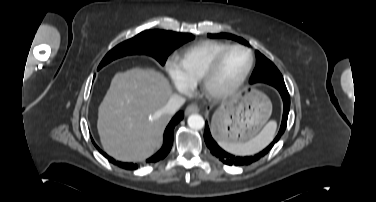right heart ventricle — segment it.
Instances as JSON below:
<instances>
[{
    "instance_id": "right-heart-ventricle-1",
    "label": "right heart ventricle",
    "mask_w": 376,
    "mask_h": 202,
    "mask_svg": "<svg viewBox=\"0 0 376 202\" xmlns=\"http://www.w3.org/2000/svg\"><path fill=\"white\" fill-rule=\"evenodd\" d=\"M230 44L205 40L178 53L174 63L183 82L189 87L197 85L212 61Z\"/></svg>"
}]
</instances>
